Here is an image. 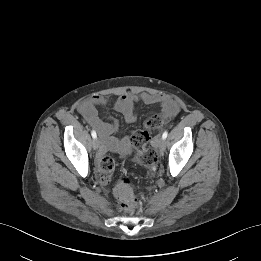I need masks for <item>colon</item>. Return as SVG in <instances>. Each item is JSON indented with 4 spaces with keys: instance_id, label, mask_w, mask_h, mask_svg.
Instances as JSON below:
<instances>
[{
    "instance_id": "colon-1",
    "label": "colon",
    "mask_w": 261,
    "mask_h": 261,
    "mask_svg": "<svg viewBox=\"0 0 261 261\" xmlns=\"http://www.w3.org/2000/svg\"><path fill=\"white\" fill-rule=\"evenodd\" d=\"M163 122L162 116L153 115L145 121L143 129L134 131L130 136V141L136 150L137 160L147 170L148 182L155 177L157 169V153L150 144V132L159 128ZM114 169V159L109 155L103 156L99 163V174L103 183L111 178ZM115 194L125 211H132L136 207L137 200L127 179L119 181L115 188Z\"/></svg>"
}]
</instances>
